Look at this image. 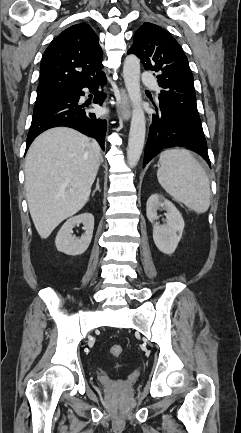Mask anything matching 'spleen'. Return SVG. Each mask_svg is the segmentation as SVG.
Here are the masks:
<instances>
[{"instance_id": "spleen-1", "label": "spleen", "mask_w": 241, "mask_h": 433, "mask_svg": "<svg viewBox=\"0 0 241 433\" xmlns=\"http://www.w3.org/2000/svg\"><path fill=\"white\" fill-rule=\"evenodd\" d=\"M159 163L157 178L163 189L190 210L205 213L210 206L209 179L193 155L186 149H168Z\"/></svg>"}]
</instances>
